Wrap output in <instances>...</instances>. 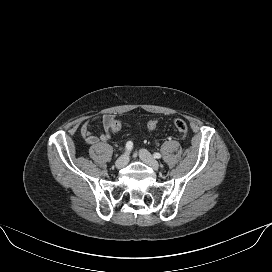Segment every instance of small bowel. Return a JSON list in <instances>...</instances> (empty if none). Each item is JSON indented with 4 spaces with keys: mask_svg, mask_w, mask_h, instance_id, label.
<instances>
[{
    "mask_svg": "<svg viewBox=\"0 0 272 272\" xmlns=\"http://www.w3.org/2000/svg\"><path fill=\"white\" fill-rule=\"evenodd\" d=\"M115 116L112 114H104L101 117V121L104 128V133L99 135L93 134L91 131L93 123L96 121V118L88 119L86 122L83 123L81 126V135L85 142L89 145H95L99 142H105L111 139L112 137V123L115 120Z\"/></svg>",
    "mask_w": 272,
    "mask_h": 272,
    "instance_id": "1",
    "label": "small bowel"
}]
</instances>
